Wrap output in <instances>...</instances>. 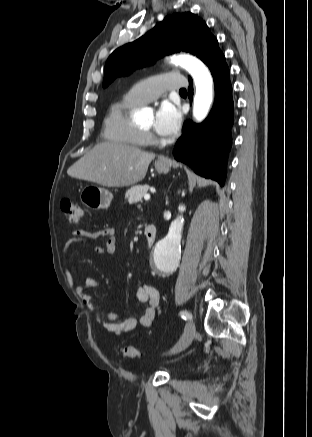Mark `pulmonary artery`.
Here are the masks:
<instances>
[{
  "instance_id": "e3ab8cb5",
  "label": "pulmonary artery",
  "mask_w": 312,
  "mask_h": 437,
  "mask_svg": "<svg viewBox=\"0 0 312 437\" xmlns=\"http://www.w3.org/2000/svg\"><path fill=\"white\" fill-rule=\"evenodd\" d=\"M187 80L182 74L165 73L135 84L126 94V98L144 105L156 99L159 94L166 90L183 89Z\"/></svg>"
}]
</instances>
